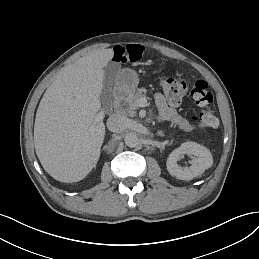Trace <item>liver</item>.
Returning a JSON list of instances; mask_svg holds the SVG:
<instances>
[{"label":"liver","mask_w":259,"mask_h":259,"mask_svg":"<svg viewBox=\"0 0 259 259\" xmlns=\"http://www.w3.org/2000/svg\"><path fill=\"white\" fill-rule=\"evenodd\" d=\"M112 49H95L65 67L45 91L34 124V147L45 169L58 181L84 179L96 166L105 135L101 109L104 67Z\"/></svg>","instance_id":"liver-1"}]
</instances>
